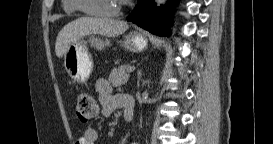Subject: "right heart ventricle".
I'll use <instances>...</instances> for the list:
<instances>
[{"instance_id":"right-heart-ventricle-1","label":"right heart ventricle","mask_w":273,"mask_h":144,"mask_svg":"<svg viewBox=\"0 0 273 144\" xmlns=\"http://www.w3.org/2000/svg\"><path fill=\"white\" fill-rule=\"evenodd\" d=\"M62 7L64 12L66 13H75L77 11L73 0H63Z\"/></svg>"}]
</instances>
